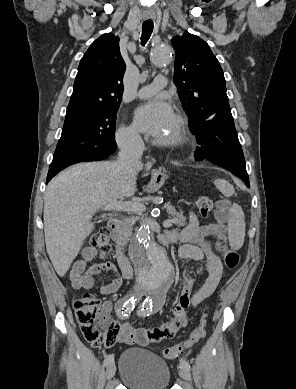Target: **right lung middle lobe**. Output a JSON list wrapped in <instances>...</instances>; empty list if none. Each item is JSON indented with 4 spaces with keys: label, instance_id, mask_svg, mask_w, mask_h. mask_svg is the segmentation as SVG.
Listing matches in <instances>:
<instances>
[{
    "label": "right lung middle lobe",
    "instance_id": "1",
    "mask_svg": "<svg viewBox=\"0 0 296 389\" xmlns=\"http://www.w3.org/2000/svg\"><path fill=\"white\" fill-rule=\"evenodd\" d=\"M118 108H99L65 119L50 168L64 169L75 163L108 157L117 147L114 134Z\"/></svg>",
    "mask_w": 296,
    "mask_h": 389
}]
</instances>
